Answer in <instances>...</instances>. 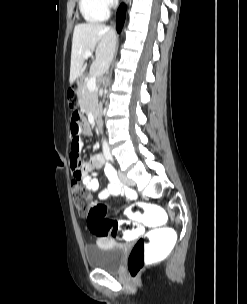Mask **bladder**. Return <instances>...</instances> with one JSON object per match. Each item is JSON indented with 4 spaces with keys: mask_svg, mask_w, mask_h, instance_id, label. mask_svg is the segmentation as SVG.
I'll return each instance as SVG.
<instances>
[{
    "mask_svg": "<svg viewBox=\"0 0 247 304\" xmlns=\"http://www.w3.org/2000/svg\"><path fill=\"white\" fill-rule=\"evenodd\" d=\"M126 246L116 242H102L88 245L85 257L89 268L108 272L118 271L122 266Z\"/></svg>",
    "mask_w": 247,
    "mask_h": 304,
    "instance_id": "31cf9c89",
    "label": "bladder"
}]
</instances>
